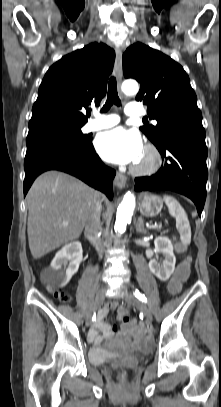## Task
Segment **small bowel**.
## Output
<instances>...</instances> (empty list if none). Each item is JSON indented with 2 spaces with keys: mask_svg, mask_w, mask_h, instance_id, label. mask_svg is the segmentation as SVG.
I'll use <instances>...</instances> for the list:
<instances>
[{
  "mask_svg": "<svg viewBox=\"0 0 221 407\" xmlns=\"http://www.w3.org/2000/svg\"><path fill=\"white\" fill-rule=\"evenodd\" d=\"M117 303L113 302L109 305L104 306L97 317L94 328L89 333V340L94 344H100L104 338L110 337L117 332V326L111 325L105 321L106 316L108 315L111 309H116ZM118 318V317H117ZM121 328V325H120ZM123 333H128L130 330H123Z\"/></svg>",
  "mask_w": 221,
  "mask_h": 407,
  "instance_id": "small-bowel-1",
  "label": "small bowel"
}]
</instances>
